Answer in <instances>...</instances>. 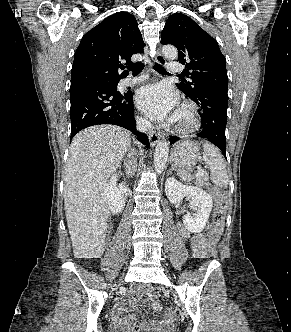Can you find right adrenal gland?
Listing matches in <instances>:
<instances>
[{
    "label": "right adrenal gland",
    "mask_w": 291,
    "mask_h": 332,
    "mask_svg": "<svg viewBox=\"0 0 291 332\" xmlns=\"http://www.w3.org/2000/svg\"><path fill=\"white\" fill-rule=\"evenodd\" d=\"M135 152H134V148L131 149V152L129 153V157H131L132 155H134ZM136 162L133 160V172H132V175L134 174V172L136 171Z\"/></svg>",
    "instance_id": "1"
}]
</instances>
